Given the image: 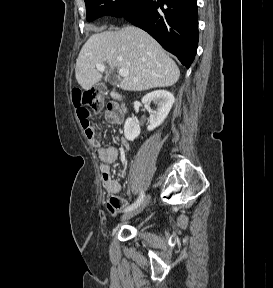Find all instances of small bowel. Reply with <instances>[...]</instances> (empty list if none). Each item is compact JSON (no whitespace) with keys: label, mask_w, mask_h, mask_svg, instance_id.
<instances>
[{"label":"small bowel","mask_w":273,"mask_h":288,"mask_svg":"<svg viewBox=\"0 0 273 288\" xmlns=\"http://www.w3.org/2000/svg\"><path fill=\"white\" fill-rule=\"evenodd\" d=\"M104 118L106 122L110 124H119L122 121V117L118 115L116 108L112 104L107 106ZM84 131L90 143L97 149L101 161L100 171L102 186L107 194L106 208L109 214L114 216L117 210H121L127 206V202L118 196L121 185L112 177L110 168V165L118 158V150L115 147L103 145L96 135L95 128L92 126L84 129ZM123 147L125 150L128 148V144L125 140H123Z\"/></svg>","instance_id":"c3829d8e"}]
</instances>
